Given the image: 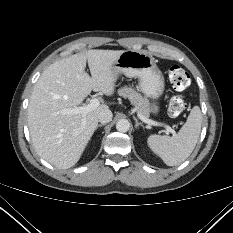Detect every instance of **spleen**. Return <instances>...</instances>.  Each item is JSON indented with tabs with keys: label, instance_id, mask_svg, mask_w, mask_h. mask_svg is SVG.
Listing matches in <instances>:
<instances>
[{
	"label": "spleen",
	"instance_id": "spleen-1",
	"mask_svg": "<svg viewBox=\"0 0 233 233\" xmlns=\"http://www.w3.org/2000/svg\"><path fill=\"white\" fill-rule=\"evenodd\" d=\"M201 123V110L198 106H194L177 134L173 136L150 135L147 140L148 145L166 165H179L194 150L200 135Z\"/></svg>",
	"mask_w": 233,
	"mask_h": 233
}]
</instances>
